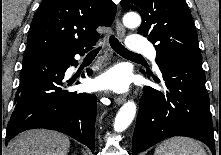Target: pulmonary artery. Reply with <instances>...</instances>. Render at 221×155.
I'll list each match as a JSON object with an SVG mask.
<instances>
[{
  "instance_id": "e3ab8cb5",
  "label": "pulmonary artery",
  "mask_w": 221,
  "mask_h": 155,
  "mask_svg": "<svg viewBox=\"0 0 221 155\" xmlns=\"http://www.w3.org/2000/svg\"><path fill=\"white\" fill-rule=\"evenodd\" d=\"M128 47L133 53L147 55L156 67V51L147 40L139 35H132L128 39Z\"/></svg>"
}]
</instances>
